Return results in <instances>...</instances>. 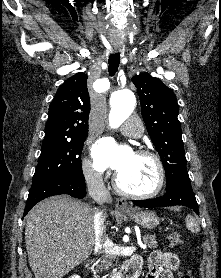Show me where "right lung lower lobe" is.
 Returning a JSON list of instances; mask_svg holds the SVG:
<instances>
[{"label": "right lung lower lobe", "instance_id": "98d812e1", "mask_svg": "<svg viewBox=\"0 0 221 278\" xmlns=\"http://www.w3.org/2000/svg\"><path fill=\"white\" fill-rule=\"evenodd\" d=\"M68 194L78 199L86 197L85 179L74 177H57L31 188L23 217L39 201L54 195Z\"/></svg>", "mask_w": 221, "mask_h": 278}]
</instances>
